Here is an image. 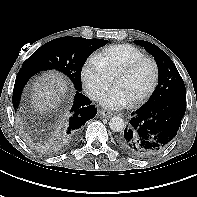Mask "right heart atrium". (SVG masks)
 I'll list each match as a JSON object with an SVG mask.
<instances>
[{
  "label": "right heart atrium",
  "instance_id": "d8ad5b80",
  "mask_svg": "<svg viewBox=\"0 0 197 197\" xmlns=\"http://www.w3.org/2000/svg\"><path fill=\"white\" fill-rule=\"evenodd\" d=\"M81 80L86 93L93 100H96L112 83V77L104 70L95 56H91L83 64Z\"/></svg>",
  "mask_w": 197,
  "mask_h": 197
}]
</instances>
